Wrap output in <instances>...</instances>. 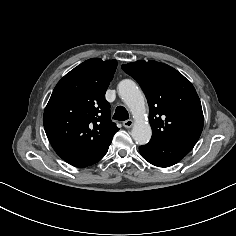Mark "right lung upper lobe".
Returning a JSON list of instances; mask_svg holds the SVG:
<instances>
[{
  "instance_id": "obj_1",
  "label": "right lung upper lobe",
  "mask_w": 236,
  "mask_h": 236,
  "mask_svg": "<svg viewBox=\"0 0 236 236\" xmlns=\"http://www.w3.org/2000/svg\"><path fill=\"white\" fill-rule=\"evenodd\" d=\"M116 67V60L89 59L58 82L43 116L55 151L98 152L112 141L119 128L111 121L105 92Z\"/></svg>"
}]
</instances>
